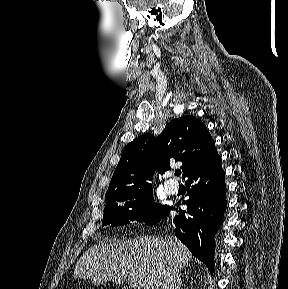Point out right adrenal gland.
I'll return each instance as SVG.
<instances>
[{
	"mask_svg": "<svg viewBox=\"0 0 288 289\" xmlns=\"http://www.w3.org/2000/svg\"><path fill=\"white\" fill-rule=\"evenodd\" d=\"M181 286H182V281H180V284H179V289H181Z\"/></svg>",
	"mask_w": 288,
	"mask_h": 289,
	"instance_id": "1",
	"label": "right adrenal gland"
}]
</instances>
